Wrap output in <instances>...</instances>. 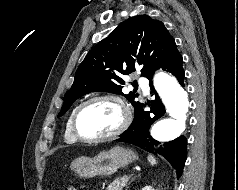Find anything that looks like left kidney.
<instances>
[{
	"mask_svg": "<svg viewBox=\"0 0 238 190\" xmlns=\"http://www.w3.org/2000/svg\"><path fill=\"white\" fill-rule=\"evenodd\" d=\"M142 190H154V188H152L151 186H145L144 188H142Z\"/></svg>",
	"mask_w": 238,
	"mask_h": 190,
	"instance_id": "left-kidney-1",
	"label": "left kidney"
}]
</instances>
